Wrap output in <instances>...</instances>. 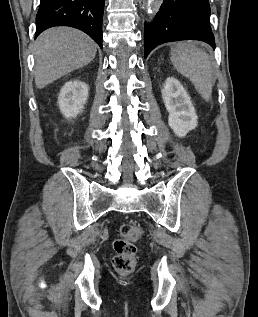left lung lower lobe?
Here are the masks:
<instances>
[{
    "label": "left lung lower lobe",
    "instance_id": "left-lung-lower-lobe-1",
    "mask_svg": "<svg viewBox=\"0 0 258 317\" xmlns=\"http://www.w3.org/2000/svg\"><path fill=\"white\" fill-rule=\"evenodd\" d=\"M209 19L208 0H164L154 21L144 26V57L160 44L180 40H200L214 48Z\"/></svg>",
    "mask_w": 258,
    "mask_h": 317
}]
</instances>
